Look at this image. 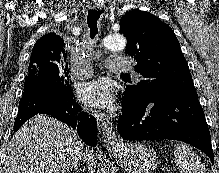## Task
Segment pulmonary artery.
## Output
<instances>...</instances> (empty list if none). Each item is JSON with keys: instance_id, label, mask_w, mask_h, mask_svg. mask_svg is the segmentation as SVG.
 <instances>
[{"instance_id": "1", "label": "pulmonary artery", "mask_w": 219, "mask_h": 173, "mask_svg": "<svg viewBox=\"0 0 219 173\" xmlns=\"http://www.w3.org/2000/svg\"><path fill=\"white\" fill-rule=\"evenodd\" d=\"M107 66L112 71L124 72L132 70V63L125 57L112 56L106 60ZM81 66H75L72 70L73 76L78 79L87 78L92 74V66L89 61L83 60ZM139 76V74H136Z\"/></svg>"}]
</instances>
